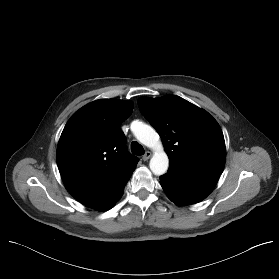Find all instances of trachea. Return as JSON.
<instances>
[{
	"mask_svg": "<svg viewBox=\"0 0 279 279\" xmlns=\"http://www.w3.org/2000/svg\"><path fill=\"white\" fill-rule=\"evenodd\" d=\"M131 151L134 155H143L144 154V148L142 145H140L138 142L133 141L131 143Z\"/></svg>",
	"mask_w": 279,
	"mask_h": 279,
	"instance_id": "obj_1",
	"label": "trachea"
}]
</instances>
